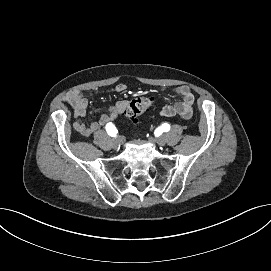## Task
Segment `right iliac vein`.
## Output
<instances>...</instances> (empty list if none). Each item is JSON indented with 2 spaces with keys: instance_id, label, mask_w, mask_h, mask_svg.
<instances>
[{
  "instance_id": "63e3f726",
  "label": "right iliac vein",
  "mask_w": 271,
  "mask_h": 271,
  "mask_svg": "<svg viewBox=\"0 0 271 271\" xmlns=\"http://www.w3.org/2000/svg\"><path fill=\"white\" fill-rule=\"evenodd\" d=\"M120 142H121V139L120 138H116V139L113 140V145L115 147H117L120 144Z\"/></svg>"
}]
</instances>
